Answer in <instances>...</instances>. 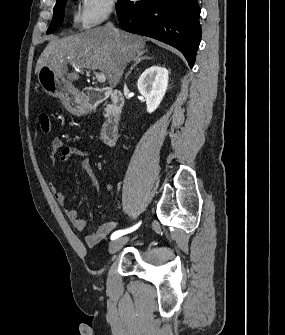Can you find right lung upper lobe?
<instances>
[{
    "label": "right lung upper lobe",
    "mask_w": 285,
    "mask_h": 335,
    "mask_svg": "<svg viewBox=\"0 0 285 335\" xmlns=\"http://www.w3.org/2000/svg\"><path fill=\"white\" fill-rule=\"evenodd\" d=\"M63 0H56V4H58V3H60V2H62Z\"/></svg>",
    "instance_id": "cb5924a9"
}]
</instances>
